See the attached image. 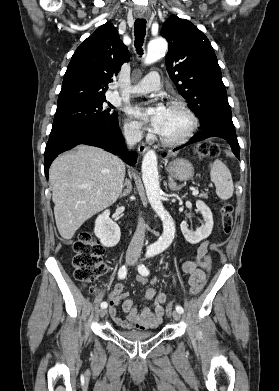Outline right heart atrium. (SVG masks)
Returning <instances> with one entry per match:
<instances>
[{
	"label": "right heart atrium",
	"mask_w": 279,
	"mask_h": 391,
	"mask_svg": "<svg viewBox=\"0 0 279 391\" xmlns=\"http://www.w3.org/2000/svg\"><path fill=\"white\" fill-rule=\"evenodd\" d=\"M124 132L129 139L136 140L141 136L142 129L137 122L127 119L124 122Z\"/></svg>",
	"instance_id": "right-heart-atrium-1"
}]
</instances>
